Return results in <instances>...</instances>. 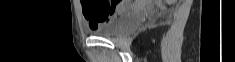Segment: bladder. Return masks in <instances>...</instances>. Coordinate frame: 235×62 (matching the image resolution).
<instances>
[{
	"instance_id": "bladder-1",
	"label": "bladder",
	"mask_w": 235,
	"mask_h": 62,
	"mask_svg": "<svg viewBox=\"0 0 235 62\" xmlns=\"http://www.w3.org/2000/svg\"><path fill=\"white\" fill-rule=\"evenodd\" d=\"M140 20V9L135 5H128L118 11L110 20L93 30V34L104 38L119 37L138 26Z\"/></svg>"
}]
</instances>
